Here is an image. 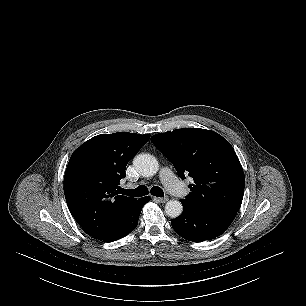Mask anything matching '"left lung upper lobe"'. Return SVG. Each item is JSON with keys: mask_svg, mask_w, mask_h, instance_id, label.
<instances>
[{"mask_svg": "<svg viewBox=\"0 0 306 306\" xmlns=\"http://www.w3.org/2000/svg\"><path fill=\"white\" fill-rule=\"evenodd\" d=\"M174 165L181 179L193 178L181 203L196 210L235 217L240 209L245 177L231 144L214 131L182 128L151 137Z\"/></svg>", "mask_w": 306, "mask_h": 306, "instance_id": "1", "label": "left lung upper lobe"}]
</instances>
